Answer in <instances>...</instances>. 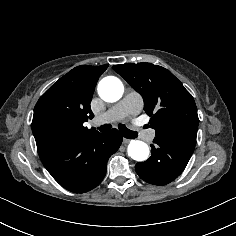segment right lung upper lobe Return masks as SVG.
Instances as JSON below:
<instances>
[{
  "label": "right lung upper lobe",
  "mask_w": 236,
  "mask_h": 236,
  "mask_svg": "<svg viewBox=\"0 0 236 236\" xmlns=\"http://www.w3.org/2000/svg\"><path fill=\"white\" fill-rule=\"evenodd\" d=\"M108 65L75 67L53 84L38 100L32 121V132L38 153L65 140L97 133L83 123L93 118L90 102L100 75Z\"/></svg>",
  "instance_id": "cb5924a9"
}]
</instances>
